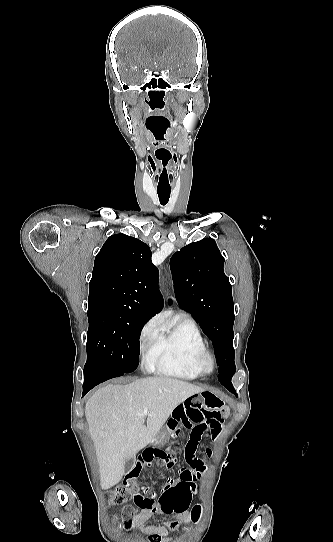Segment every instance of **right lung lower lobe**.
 Returning <instances> with one entry per match:
<instances>
[{
	"label": "right lung lower lobe",
	"instance_id": "98d812e1",
	"mask_svg": "<svg viewBox=\"0 0 333 542\" xmlns=\"http://www.w3.org/2000/svg\"><path fill=\"white\" fill-rule=\"evenodd\" d=\"M121 373L115 372L111 369L103 367L101 365H85L84 368V384H83V396L96 385L114 378L121 376Z\"/></svg>",
	"mask_w": 333,
	"mask_h": 542
}]
</instances>
